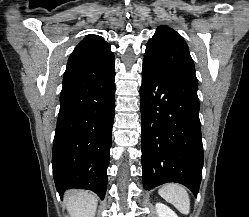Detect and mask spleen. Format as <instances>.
I'll return each instance as SVG.
<instances>
[{"label":"spleen","mask_w":249,"mask_h":217,"mask_svg":"<svg viewBox=\"0 0 249 217\" xmlns=\"http://www.w3.org/2000/svg\"><path fill=\"white\" fill-rule=\"evenodd\" d=\"M158 193L166 201L173 204L182 214H189L190 198L184 186L176 183L165 184L158 190Z\"/></svg>","instance_id":"spleen-1"}]
</instances>
